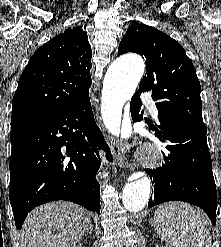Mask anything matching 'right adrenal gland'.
<instances>
[{
	"instance_id": "1",
	"label": "right adrenal gland",
	"mask_w": 221,
	"mask_h": 247,
	"mask_svg": "<svg viewBox=\"0 0 221 247\" xmlns=\"http://www.w3.org/2000/svg\"><path fill=\"white\" fill-rule=\"evenodd\" d=\"M92 231H93V228H92V225L90 224L86 234H88L90 232V234H92Z\"/></svg>"
}]
</instances>
